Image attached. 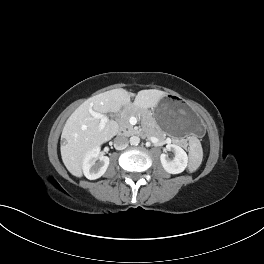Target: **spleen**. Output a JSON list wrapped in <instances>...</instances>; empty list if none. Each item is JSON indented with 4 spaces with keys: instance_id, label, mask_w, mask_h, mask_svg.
<instances>
[{
    "instance_id": "3e777b00",
    "label": "spleen",
    "mask_w": 264,
    "mask_h": 264,
    "mask_svg": "<svg viewBox=\"0 0 264 264\" xmlns=\"http://www.w3.org/2000/svg\"><path fill=\"white\" fill-rule=\"evenodd\" d=\"M190 156L191 161L189 165V170L193 172L200 166L203 158L202 147L196 137L191 138Z\"/></svg>"
}]
</instances>
